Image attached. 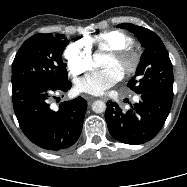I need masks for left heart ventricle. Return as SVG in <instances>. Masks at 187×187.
Segmentation results:
<instances>
[{
    "mask_svg": "<svg viewBox=\"0 0 187 187\" xmlns=\"http://www.w3.org/2000/svg\"><path fill=\"white\" fill-rule=\"evenodd\" d=\"M129 64H130V58L116 59L110 55H107L104 62L105 67H113L117 69L121 74L129 66Z\"/></svg>",
    "mask_w": 187,
    "mask_h": 187,
    "instance_id": "left-heart-ventricle-1",
    "label": "left heart ventricle"
}]
</instances>
